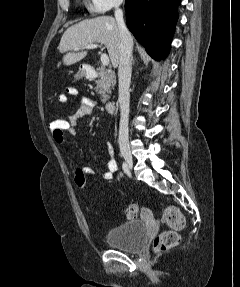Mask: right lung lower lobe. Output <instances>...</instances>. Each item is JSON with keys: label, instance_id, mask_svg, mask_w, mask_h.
I'll return each instance as SVG.
<instances>
[{"label": "right lung lower lobe", "instance_id": "obj_1", "mask_svg": "<svg viewBox=\"0 0 240 287\" xmlns=\"http://www.w3.org/2000/svg\"><path fill=\"white\" fill-rule=\"evenodd\" d=\"M180 0H126V23L156 60L165 59L177 21Z\"/></svg>", "mask_w": 240, "mask_h": 287}]
</instances>
